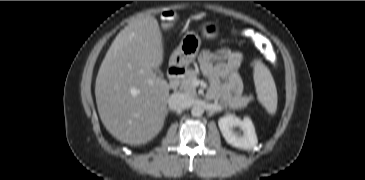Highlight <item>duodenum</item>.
Here are the masks:
<instances>
[{"label":"duodenum","instance_id":"obj_1","mask_svg":"<svg viewBox=\"0 0 365 180\" xmlns=\"http://www.w3.org/2000/svg\"><path fill=\"white\" fill-rule=\"evenodd\" d=\"M185 73V68L181 66H171L168 70L169 88L174 90L179 85L181 76Z\"/></svg>","mask_w":365,"mask_h":180}]
</instances>
